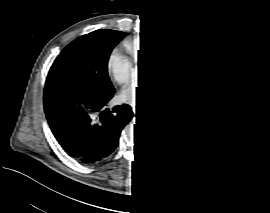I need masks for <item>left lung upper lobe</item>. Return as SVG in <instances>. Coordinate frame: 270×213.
I'll return each mask as SVG.
<instances>
[{
    "instance_id": "left-lung-upper-lobe-1",
    "label": "left lung upper lobe",
    "mask_w": 270,
    "mask_h": 213,
    "mask_svg": "<svg viewBox=\"0 0 270 213\" xmlns=\"http://www.w3.org/2000/svg\"><path fill=\"white\" fill-rule=\"evenodd\" d=\"M200 59L199 79L177 100L204 102L227 96V72L219 57L201 41H194Z\"/></svg>"
}]
</instances>
